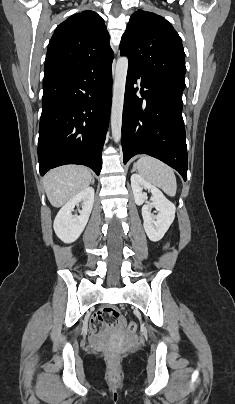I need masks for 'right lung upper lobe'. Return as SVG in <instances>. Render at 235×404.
Returning <instances> with one entry per match:
<instances>
[{"mask_svg":"<svg viewBox=\"0 0 235 404\" xmlns=\"http://www.w3.org/2000/svg\"><path fill=\"white\" fill-rule=\"evenodd\" d=\"M114 55L104 20L90 10L70 16L54 31L45 60L44 80L112 64Z\"/></svg>","mask_w":235,"mask_h":404,"instance_id":"1","label":"right lung upper lobe"}]
</instances>
